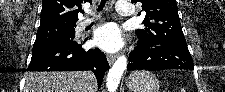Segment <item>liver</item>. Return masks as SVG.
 Segmentation results:
<instances>
[{"label": "liver", "instance_id": "1", "mask_svg": "<svg viewBox=\"0 0 225 92\" xmlns=\"http://www.w3.org/2000/svg\"><path fill=\"white\" fill-rule=\"evenodd\" d=\"M24 92H96V80L89 71L29 72Z\"/></svg>", "mask_w": 225, "mask_h": 92}]
</instances>
